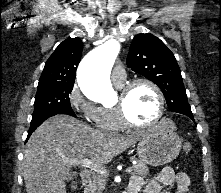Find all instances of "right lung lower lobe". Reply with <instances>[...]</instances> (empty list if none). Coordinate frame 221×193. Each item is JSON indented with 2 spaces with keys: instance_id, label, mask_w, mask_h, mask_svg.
I'll list each match as a JSON object with an SVG mask.
<instances>
[{
  "instance_id": "1",
  "label": "right lung lower lobe",
  "mask_w": 221,
  "mask_h": 193,
  "mask_svg": "<svg viewBox=\"0 0 221 193\" xmlns=\"http://www.w3.org/2000/svg\"><path fill=\"white\" fill-rule=\"evenodd\" d=\"M57 114H68V115L73 116V117L76 116L74 112L63 111V112L48 113V114H45V115H43L39 118L32 119L29 131H28L27 140L30 137V135L36 130V128L38 126H40L47 118H49L51 116H54V115H57Z\"/></svg>"
}]
</instances>
